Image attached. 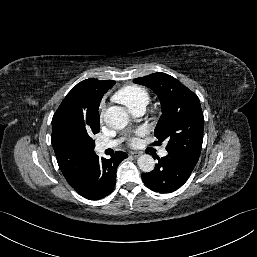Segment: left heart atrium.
Here are the masks:
<instances>
[{
	"mask_svg": "<svg viewBox=\"0 0 257 257\" xmlns=\"http://www.w3.org/2000/svg\"><path fill=\"white\" fill-rule=\"evenodd\" d=\"M142 133H143L142 130L137 131V135H141ZM129 142H130L131 144H135V143L137 142V140H136L135 137H131V138L129 139Z\"/></svg>",
	"mask_w": 257,
	"mask_h": 257,
	"instance_id": "1",
	"label": "left heart atrium"
}]
</instances>
